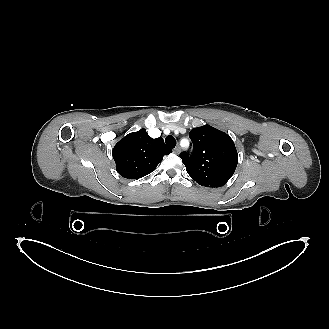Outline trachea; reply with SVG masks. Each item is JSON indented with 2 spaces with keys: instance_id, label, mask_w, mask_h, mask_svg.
I'll list each match as a JSON object with an SVG mask.
<instances>
[{
  "instance_id": "3493384b",
  "label": "trachea",
  "mask_w": 329,
  "mask_h": 329,
  "mask_svg": "<svg viewBox=\"0 0 329 329\" xmlns=\"http://www.w3.org/2000/svg\"><path fill=\"white\" fill-rule=\"evenodd\" d=\"M165 142L170 148H174L176 146V140L173 136H167Z\"/></svg>"
}]
</instances>
